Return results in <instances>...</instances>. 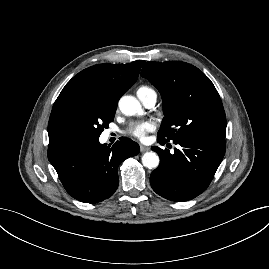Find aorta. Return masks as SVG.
Returning <instances> with one entry per match:
<instances>
[{
    "mask_svg": "<svg viewBox=\"0 0 269 269\" xmlns=\"http://www.w3.org/2000/svg\"><path fill=\"white\" fill-rule=\"evenodd\" d=\"M119 108L127 116H133L142 111L141 104L133 96H123L119 101ZM159 162V157L155 152H146L142 156V164L149 169L157 168Z\"/></svg>",
    "mask_w": 269,
    "mask_h": 269,
    "instance_id": "1",
    "label": "aorta"
}]
</instances>
